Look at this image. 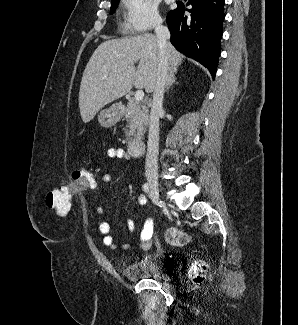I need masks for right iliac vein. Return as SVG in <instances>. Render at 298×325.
Returning a JSON list of instances; mask_svg holds the SVG:
<instances>
[{
	"instance_id": "1",
	"label": "right iliac vein",
	"mask_w": 298,
	"mask_h": 325,
	"mask_svg": "<svg viewBox=\"0 0 298 325\" xmlns=\"http://www.w3.org/2000/svg\"><path fill=\"white\" fill-rule=\"evenodd\" d=\"M148 185L150 187L151 193L156 200H159V184L155 177L148 178Z\"/></svg>"
}]
</instances>
